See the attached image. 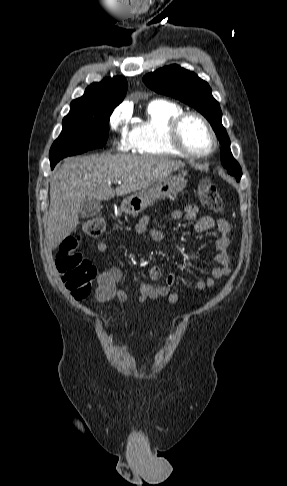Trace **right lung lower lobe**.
<instances>
[{"label":"right lung lower lobe","mask_w":287,"mask_h":486,"mask_svg":"<svg viewBox=\"0 0 287 486\" xmlns=\"http://www.w3.org/2000/svg\"><path fill=\"white\" fill-rule=\"evenodd\" d=\"M55 165H56V164H52V165H51V169H53Z\"/></svg>","instance_id":"1"}]
</instances>
